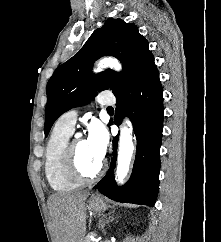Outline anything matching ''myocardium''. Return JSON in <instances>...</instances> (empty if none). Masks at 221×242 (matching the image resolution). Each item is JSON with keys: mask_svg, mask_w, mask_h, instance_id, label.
<instances>
[{"mask_svg": "<svg viewBox=\"0 0 221 242\" xmlns=\"http://www.w3.org/2000/svg\"><path fill=\"white\" fill-rule=\"evenodd\" d=\"M65 168L67 174L77 182L85 183L92 182L100 176L104 168V163L101 161L97 169L90 174H87L81 170L77 160V154L75 149V140L67 145L65 154Z\"/></svg>", "mask_w": 221, "mask_h": 242, "instance_id": "myocardium-1", "label": "myocardium"}]
</instances>
